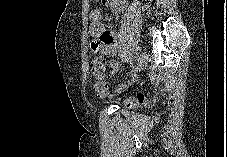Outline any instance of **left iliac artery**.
<instances>
[{"instance_id": "left-iliac-artery-1", "label": "left iliac artery", "mask_w": 227, "mask_h": 157, "mask_svg": "<svg viewBox=\"0 0 227 157\" xmlns=\"http://www.w3.org/2000/svg\"><path fill=\"white\" fill-rule=\"evenodd\" d=\"M141 52V47L140 46H137L136 48H135V52H134V54H133V58H132V60H131V65H132V67H134L133 65H134V63H135V59H136V57L138 56V54Z\"/></svg>"}]
</instances>
